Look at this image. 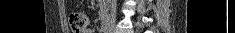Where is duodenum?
Listing matches in <instances>:
<instances>
[{"label":"duodenum","instance_id":"obj_1","mask_svg":"<svg viewBox=\"0 0 235 33\" xmlns=\"http://www.w3.org/2000/svg\"><path fill=\"white\" fill-rule=\"evenodd\" d=\"M102 28H103V31H104V32H106V29H107V23H103Z\"/></svg>","mask_w":235,"mask_h":33}]
</instances>
